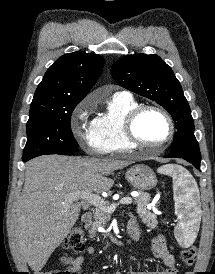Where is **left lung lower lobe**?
I'll use <instances>...</instances> for the list:
<instances>
[{"label":"left lung lower lobe","instance_id":"obj_1","mask_svg":"<svg viewBox=\"0 0 215 274\" xmlns=\"http://www.w3.org/2000/svg\"><path fill=\"white\" fill-rule=\"evenodd\" d=\"M172 158V157H176V158H183L186 161L192 163L194 165L195 168L200 169V162H201V158H195V157H188V156H183V155H179V154H174L171 153L167 156H165V158Z\"/></svg>","mask_w":215,"mask_h":274}]
</instances>
